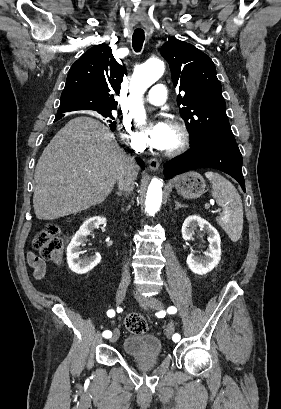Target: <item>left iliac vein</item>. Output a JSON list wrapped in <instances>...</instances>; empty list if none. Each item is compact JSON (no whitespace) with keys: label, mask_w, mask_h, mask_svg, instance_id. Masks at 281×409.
Here are the masks:
<instances>
[{"label":"left iliac vein","mask_w":281,"mask_h":409,"mask_svg":"<svg viewBox=\"0 0 281 409\" xmlns=\"http://www.w3.org/2000/svg\"><path fill=\"white\" fill-rule=\"evenodd\" d=\"M135 298L139 302V304L143 307L148 306L150 308L157 309V310L163 308L162 302L154 297H146V296H141L139 294H135ZM173 333H174V324L170 322L166 328V335L168 338H171Z\"/></svg>","instance_id":"1"}]
</instances>
